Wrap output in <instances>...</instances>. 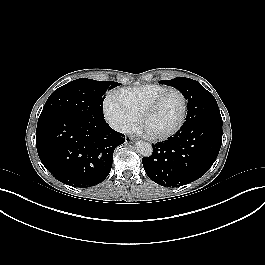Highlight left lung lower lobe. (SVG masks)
<instances>
[{
    "label": "left lung lower lobe",
    "mask_w": 265,
    "mask_h": 265,
    "mask_svg": "<svg viewBox=\"0 0 265 265\" xmlns=\"http://www.w3.org/2000/svg\"><path fill=\"white\" fill-rule=\"evenodd\" d=\"M221 144L222 118L217 102L205 88H196L180 131L167 142L153 145V154L143 158L142 163L155 183L179 187L197 180L210 169Z\"/></svg>",
    "instance_id": "left-lung-lower-lobe-1"
}]
</instances>
